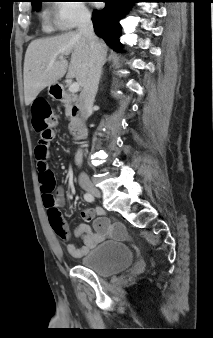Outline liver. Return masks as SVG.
Wrapping results in <instances>:
<instances>
[{"instance_id":"6515ba94","label":"liver","mask_w":213,"mask_h":338,"mask_svg":"<svg viewBox=\"0 0 213 338\" xmlns=\"http://www.w3.org/2000/svg\"><path fill=\"white\" fill-rule=\"evenodd\" d=\"M105 52L107 46L102 42ZM71 54V60H57ZM90 46L86 38L78 32H68L47 39L32 41L24 59V97L30 105L47 86L54 85L67 70L68 78H76L83 87L90 71Z\"/></svg>"}]
</instances>
